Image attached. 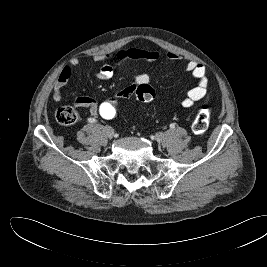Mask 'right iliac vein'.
Instances as JSON below:
<instances>
[{"mask_svg":"<svg viewBox=\"0 0 267 267\" xmlns=\"http://www.w3.org/2000/svg\"><path fill=\"white\" fill-rule=\"evenodd\" d=\"M104 131L106 132V134H107V136H108L109 138H113V136H114V129H113L112 127H110V126H105V127H104Z\"/></svg>","mask_w":267,"mask_h":267,"instance_id":"obj_1","label":"right iliac vein"}]
</instances>
